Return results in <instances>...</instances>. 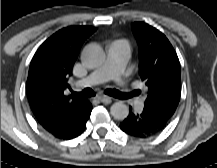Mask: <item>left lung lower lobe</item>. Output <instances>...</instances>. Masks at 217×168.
Returning <instances> with one entry per match:
<instances>
[{
    "mask_svg": "<svg viewBox=\"0 0 217 168\" xmlns=\"http://www.w3.org/2000/svg\"><path fill=\"white\" fill-rule=\"evenodd\" d=\"M170 120L164 113L144 107L140 113H130L120 124V128L131 136L145 138L162 131Z\"/></svg>",
    "mask_w": 217,
    "mask_h": 168,
    "instance_id": "1",
    "label": "left lung lower lobe"
}]
</instances>
